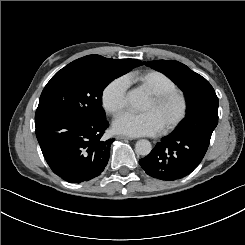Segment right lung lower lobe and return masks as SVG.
Returning <instances> with one entry per match:
<instances>
[{
  "label": "right lung lower lobe",
  "mask_w": 245,
  "mask_h": 245,
  "mask_svg": "<svg viewBox=\"0 0 245 245\" xmlns=\"http://www.w3.org/2000/svg\"><path fill=\"white\" fill-rule=\"evenodd\" d=\"M106 119L55 115L35 120L36 137L51 170L69 183L89 181L108 163L114 138L103 140Z\"/></svg>",
  "instance_id": "98d812e1"
}]
</instances>
